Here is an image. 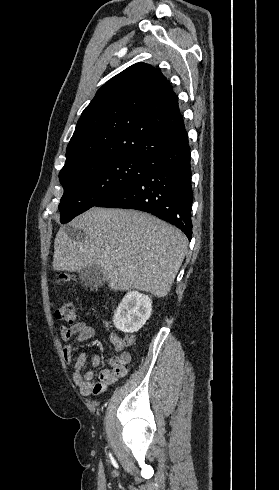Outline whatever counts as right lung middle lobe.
<instances>
[{
  "mask_svg": "<svg viewBox=\"0 0 279 490\" xmlns=\"http://www.w3.org/2000/svg\"><path fill=\"white\" fill-rule=\"evenodd\" d=\"M150 165L151 161L138 158H104L59 174L64 188L59 204L60 222L71 221L110 193L141 177Z\"/></svg>",
  "mask_w": 279,
  "mask_h": 490,
  "instance_id": "1",
  "label": "right lung middle lobe"
}]
</instances>
